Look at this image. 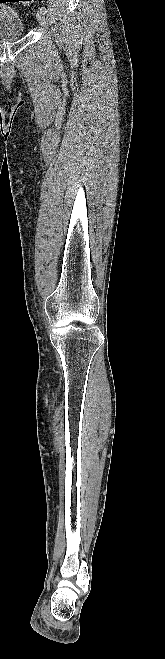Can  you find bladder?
<instances>
[{"label": "bladder", "mask_w": 165, "mask_h": 659, "mask_svg": "<svg viewBox=\"0 0 165 659\" xmlns=\"http://www.w3.org/2000/svg\"><path fill=\"white\" fill-rule=\"evenodd\" d=\"M24 36L21 17L11 8L0 5V41H8Z\"/></svg>", "instance_id": "obj_1"}]
</instances>
